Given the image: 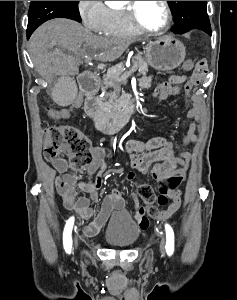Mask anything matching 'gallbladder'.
<instances>
[{
  "label": "gallbladder",
  "instance_id": "bac80fb5",
  "mask_svg": "<svg viewBox=\"0 0 237 300\" xmlns=\"http://www.w3.org/2000/svg\"><path fill=\"white\" fill-rule=\"evenodd\" d=\"M55 86L50 90L55 105H72L77 93L74 76H60V82H56Z\"/></svg>",
  "mask_w": 237,
  "mask_h": 300
}]
</instances>
